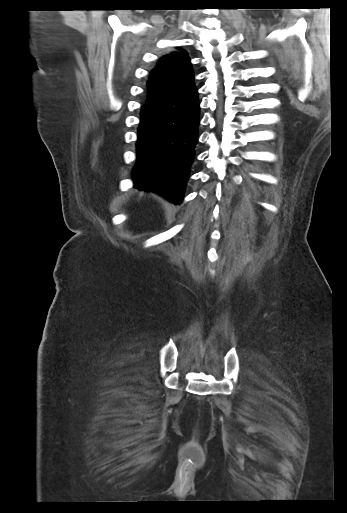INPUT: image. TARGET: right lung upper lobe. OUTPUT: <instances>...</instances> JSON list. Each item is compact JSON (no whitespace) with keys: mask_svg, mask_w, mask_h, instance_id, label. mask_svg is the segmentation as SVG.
Masks as SVG:
<instances>
[{"mask_svg":"<svg viewBox=\"0 0 347 513\" xmlns=\"http://www.w3.org/2000/svg\"><path fill=\"white\" fill-rule=\"evenodd\" d=\"M159 59L148 80V98L166 97L192 84L194 73L188 54L179 49Z\"/></svg>","mask_w":347,"mask_h":513,"instance_id":"cb5924a9","label":"right lung upper lobe"}]
</instances>
